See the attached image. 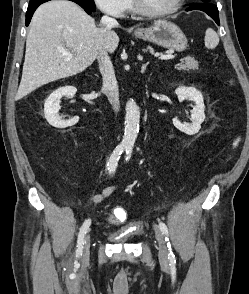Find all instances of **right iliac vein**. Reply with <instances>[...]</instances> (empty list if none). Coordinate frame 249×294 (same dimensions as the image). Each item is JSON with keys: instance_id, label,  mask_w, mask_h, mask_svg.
Wrapping results in <instances>:
<instances>
[{"instance_id": "obj_1", "label": "right iliac vein", "mask_w": 249, "mask_h": 294, "mask_svg": "<svg viewBox=\"0 0 249 294\" xmlns=\"http://www.w3.org/2000/svg\"><path fill=\"white\" fill-rule=\"evenodd\" d=\"M89 255H90V234L87 233V235L85 236L84 248H83V257H82L83 262H86L89 260Z\"/></svg>"}]
</instances>
